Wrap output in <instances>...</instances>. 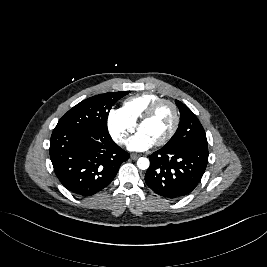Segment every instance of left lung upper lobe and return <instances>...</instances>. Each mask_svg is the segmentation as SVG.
<instances>
[{"label":"left lung upper lobe","instance_id":"1","mask_svg":"<svg viewBox=\"0 0 267 267\" xmlns=\"http://www.w3.org/2000/svg\"><path fill=\"white\" fill-rule=\"evenodd\" d=\"M180 111L179 128L163 148H172L188 144L208 146L205 131L195 114L182 102L176 100Z\"/></svg>","mask_w":267,"mask_h":267}]
</instances>
